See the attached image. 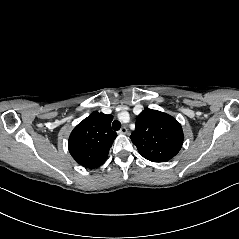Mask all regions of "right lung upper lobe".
Listing matches in <instances>:
<instances>
[{
	"label": "right lung upper lobe",
	"mask_w": 239,
	"mask_h": 239,
	"mask_svg": "<svg viewBox=\"0 0 239 239\" xmlns=\"http://www.w3.org/2000/svg\"><path fill=\"white\" fill-rule=\"evenodd\" d=\"M112 119V115L94 111L73 129L68 148L78 164L94 169L105 162L117 137L110 126Z\"/></svg>",
	"instance_id": "cb5924a9"
}]
</instances>
